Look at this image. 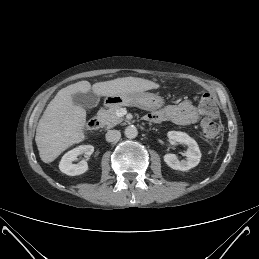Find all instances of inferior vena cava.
I'll list each match as a JSON object with an SVG mask.
<instances>
[{
  "label": "inferior vena cava",
  "instance_id": "obj_1",
  "mask_svg": "<svg viewBox=\"0 0 259 259\" xmlns=\"http://www.w3.org/2000/svg\"><path fill=\"white\" fill-rule=\"evenodd\" d=\"M121 137V133L118 130H109L106 133V141L107 142H114L119 140Z\"/></svg>",
  "mask_w": 259,
  "mask_h": 259
}]
</instances>
